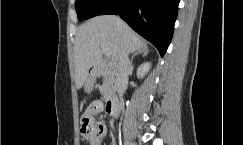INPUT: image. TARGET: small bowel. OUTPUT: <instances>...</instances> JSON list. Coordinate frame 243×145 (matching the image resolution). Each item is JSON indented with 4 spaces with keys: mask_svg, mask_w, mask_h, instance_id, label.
Wrapping results in <instances>:
<instances>
[{
    "mask_svg": "<svg viewBox=\"0 0 243 145\" xmlns=\"http://www.w3.org/2000/svg\"><path fill=\"white\" fill-rule=\"evenodd\" d=\"M103 110V104L100 101L94 102L85 112L84 116L90 117L95 126L94 134L86 139L87 145H102V140L106 135V126L102 122L95 120V115Z\"/></svg>",
    "mask_w": 243,
    "mask_h": 145,
    "instance_id": "c3829d8e",
    "label": "small bowel"
}]
</instances>
